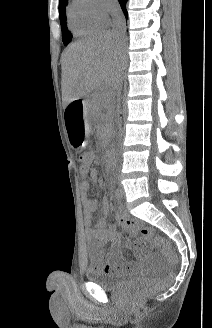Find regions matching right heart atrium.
Listing matches in <instances>:
<instances>
[{"instance_id": "obj_1", "label": "right heart atrium", "mask_w": 212, "mask_h": 328, "mask_svg": "<svg viewBox=\"0 0 212 328\" xmlns=\"http://www.w3.org/2000/svg\"><path fill=\"white\" fill-rule=\"evenodd\" d=\"M93 15L104 23L109 21L110 15L116 10L115 0H88Z\"/></svg>"}]
</instances>
